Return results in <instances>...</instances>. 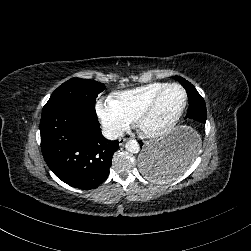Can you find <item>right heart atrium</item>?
Segmentation results:
<instances>
[{
	"instance_id": "right-heart-atrium-1",
	"label": "right heart atrium",
	"mask_w": 251,
	"mask_h": 251,
	"mask_svg": "<svg viewBox=\"0 0 251 251\" xmlns=\"http://www.w3.org/2000/svg\"><path fill=\"white\" fill-rule=\"evenodd\" d=\"M95 110L107 133L114 138L123 136L137 122V117L128 113L114 95L98 98Z\"/></svg>"
}]
</instances>
